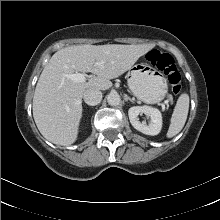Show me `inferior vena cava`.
Segmentation results:
<instances>
[{
    "label": "inferior vena cava",
    "instance_id": "1",
    "mask_svg": "<svg viewBox=\"0 0 220 220\" xmlns=\"http://www.w3.org/2000/svg\"><path fill=\"white\" fill-rule=\"evenodd\" d=\"M83 99L86 104L95 106L102 100V92L97 89H87L83 94Z\"/></svg>",
    "mask_w": 220,
    "mask_h": 220
}]
</instances>
